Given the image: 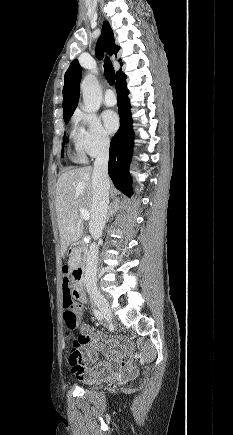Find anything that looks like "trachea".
<instances>
[{"instance_id": "trachea-1", "label": "trachea", "mask_w": 233, "mask_h": 435, "mask_svg": "<svg viewBox=\"0 0 233 435\" xmlns=\"http://www.w3.org/2000/svg\"><path fill=\"white\" fill-rule=\"evenodd\" d=\"M104 74H105L107 82L110 85H113L115 82V70H114L113 65H112L111 61L109 60V58L105 59Z\"/></svg>"}]
</instances>
